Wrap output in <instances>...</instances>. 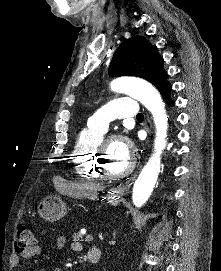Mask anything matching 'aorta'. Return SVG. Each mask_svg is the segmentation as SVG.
Returning <instances> with one entry per match:
<instances>
[{
  "instance_id": "aorta-1",
  "label": "aorta",
  "mask_w": 221,
  "mask_h": 271,
  "mask_svg": "<svg viewBox=\"0 0 221 271\" xmlns=\"http://www.w3.org/2000/svg\"><path fill=\"white\" fill-rule=\"evenodd\" d=\"M112 91L125 93L140 101L152 114L156 135L154 151L134 183L132 200L136 207L143 206L150 197L161 168V154L166 147L168 117L159 92L148 82L128 77L114 79Z\"/></svg>"
}]
</instances>
